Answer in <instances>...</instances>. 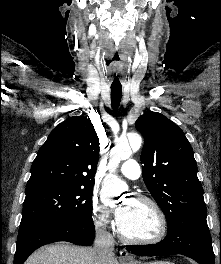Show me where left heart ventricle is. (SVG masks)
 <instances>
[{
	"instance_id": "left-heart-ventricle-1",
	"label": "left heart ventricle",
	"mask_w": 221,
	"mask_h": 264,
	"mask_svg": "<svg viewBox=\"0 0 221 264\" xmlns=\"http://www.w3.org/2000/svg\"><path fill=\"white\" fill-rule=\"evenodd\" d=\"M126 204L130 206V213L125 222L120 225L123 232L137 239L155 236L159 229V222L153 209L136 200H129Z\"/></svg>"
}]
</instances>
